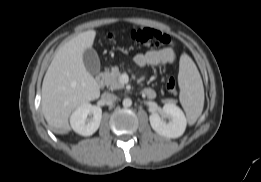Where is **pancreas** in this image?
I'll list each match as a JSON object with an SVG mask.
<instances>
[{
    "label": "pancreas",
    "instance_id": "1",
    "mask_svg": "<svg viewBox=\"0 0 261 182\" xmlns=\"http://www.w3.org/2000/svg\"><path fill=\"white\" fill-rule=\"evenodd\" d=\"M121 73L117 66L113 67L111 71H107L103 73L105 85L109 87L111 90L122 89L124 88V84L120 82Z\"/></svg>",
    "mask_w": 261,
    "mask_h": 182
}]
</instances>
